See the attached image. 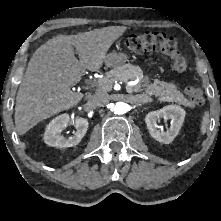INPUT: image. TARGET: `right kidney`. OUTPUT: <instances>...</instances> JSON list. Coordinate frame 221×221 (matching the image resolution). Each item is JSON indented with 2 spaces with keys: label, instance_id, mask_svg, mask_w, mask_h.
<instances>
[{
  "label": "right kidney",
  "instance_id": "obj_1",
  "mask_svg": "<svg viewBox=\"0 0 221 221\" xmlns=\"http://www.w3.org/2000/svg\"><path fill=\"white\" fill-rule=\"evenodd\" d=\"M69 123L70 117L68 114H61L55 117L46 127L44 142L49 146L59 148L76 146L84 137L89 123L87 119L81 117L73 120L72 124L77 130L73 136L66 138L61 135V131L64 130Z\"/></svg>",
  "mask_w": 221,
  "mask_h": 221
}]
</instances>
